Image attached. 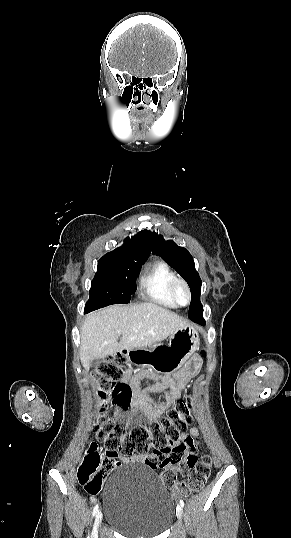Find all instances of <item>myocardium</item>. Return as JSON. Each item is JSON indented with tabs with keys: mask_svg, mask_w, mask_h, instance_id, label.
Instances as JSON below:
<instances>
[{
	"mask_svg": "<svg viewBox=\"0 0 291 538\" xmlns=\"http://www.w3.org/2000/svg\"><path fill=\"white\" fill-rule=\"evenodd\" d=\"M180 290L184 291V293L186 295V301L185 302H181L180 299H179V291ZM170 293H171V297H172L174 303L176 304V306L185 307V306H188L191 303L192 295H191L190 287L187 284V282L182 278L176 277L172 281L171 286H170Z\"/></svg>",
	"mask_w": 291,
	"mask_h": 538,
	"instance_id": "obj_1",
	"label": "myocardium"
}]
</instances>
